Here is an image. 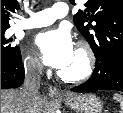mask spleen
Returning <instances> with one entry per match:
<instances>
[{
	"instance_id": "3e777b00",
	"label": "spleen",
	"mask_w": 123,
	"mask_h": 113,
	"mask_svg": "<svg viewBox=\"0 0 123 113\" xmlns=\"http://www.w3.org/2000/svg\"><path fill=\"white\" fill-rule=\"evenodd\" d=\"M114 99L119 101L121 110L123 111V96H121L119 94H115Z\"/></svg>"
}]
</instances>
